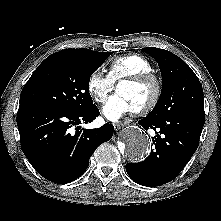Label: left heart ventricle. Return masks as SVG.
I'll return each mask as SVG.
<instances>
[{"label": "left heart ventricle", "instance_id": "b2bd125f", "mask_svg": "<svg viewBox=\"0 0 221 221\" xmlns=\"http://www.w3.org/2000/svg\"><path fill=\"white\" fill-rule=\"evenodd\" d=\"M117 92L125 96L136 110L151 100L154 87L150 83L136 85L123 83L118 86Z\"/></svg>", "mask_w": 221, "mask_h": 221}]
</instances>
